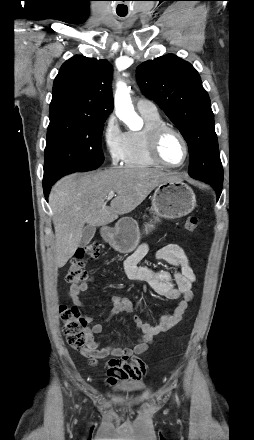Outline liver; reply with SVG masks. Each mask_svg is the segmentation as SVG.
I'll return each instance as SVG.
<instances>
[{"instance_id":"6515ba94","label":"liver","mask_w":254,"mask_h":440,"mask_svg":"<svg viewBox=\"0 0 254 440\" xmlns=\"http://www.w3.org/2000/svg\"><path fill=\"white\" fill-rule=\"evenodd\" d=\"M175 176L150 168H112L61 178L49 195L55 229L56 265L63 267L79 247L85 224L102 226L139 206L160 183ZM117 196L106 205L109 192Z\"/></svg>"}]
</instances>
